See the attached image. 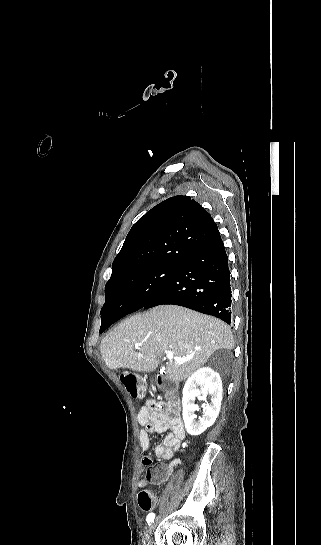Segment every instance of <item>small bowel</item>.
<instances>
[{
  "label": "small bowel",
  "mask_w": 321,
  "mask_h": 545,
  "mask_svg": "<svg viewBox=\"0 0 321 545\" xmlns=\"http://www.w3.org/2000/svg\"><path fill=\"white\" fill-rule=\"evenodd\" d=\"M137 421L141 427L139 432V445L144 453L150 448L149 435L152 433H165L160 444L154 450L155 456L162 461L171 460L185 438V428L178 414L175 401L162 403L148 399L141 407L137 415ZM145 465L151 464L149 456L143 458ZM181 464L180 459H173L169 464L158 463L150 466L146 477L139 478L137 486L145 488L149 483L159 484L172 476L175 467ZM160 473V475H158Z\"/></svg>",
  "instance_id": "small-bowel-1"
}]
</instances>
